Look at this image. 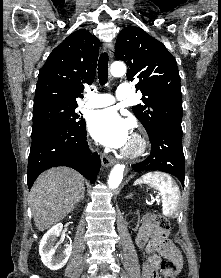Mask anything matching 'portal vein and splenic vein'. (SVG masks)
<instances>
[{
	"label": "portal vein and splenic vein",
	"instance_id": "1",
	"mask_svg": "<svg viewBox=\"0 0 221 278\" xmlns=\"http://www.w3.org/2000/svg\"><path fill=\"white\" fill-rule=\"evenodd\" d=\"M152 201L154 202V201H155V198H152Z\"/></svg>",
	"mask_w": 221,
	"mask_h": 278
}]
</instances>
